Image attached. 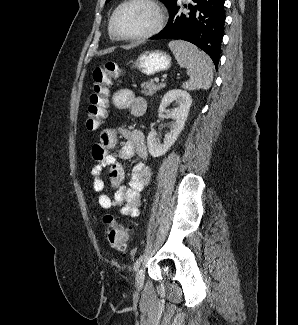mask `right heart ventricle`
Returning <instances> with one entry per match:
<instances>
[{"instance_id":"e07e8e85","label":"right heart ventricle","mask_w":298,"mask_h":325,"mask_svg":"<svg viewBox=\"0 0 298 325\" xmlns=\"http://www.w3.org/2000/svg\"><path fill=\"white\" fill-rule=\"evenodd\" d=\"M109 36H110V38H111V40H115L113 37H112V35H111V33H110V30H109Z\"/></svg>"}]
</instances>
